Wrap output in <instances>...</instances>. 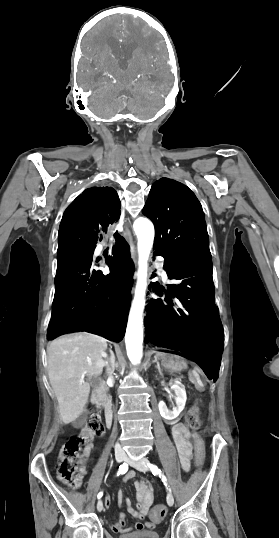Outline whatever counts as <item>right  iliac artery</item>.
Segmentation results:
<instances>
[{
  "mask_svg": "<svg viewBox=\"0 0 279 538\" xmlns=\"http://www.w3.org/2000/svg\"><path fill=\"white\" fill-rule=\"evenodd\" d=\"M128 470V465L126 463H123L120 467H119V470L117 472V475H120V474H124L126 473ZM103 496V492H99L98 493V499H100L101 497Z\"/></svg>",
  "mask_w": 279,
  "mask_h": 538,
  "instance_id": "obj_1",
  "label": "right iliac artery"
}]
</instances>
